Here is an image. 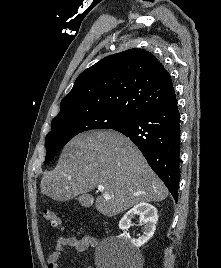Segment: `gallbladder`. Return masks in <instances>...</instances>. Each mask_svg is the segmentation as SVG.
<instances>
[{"instance_id":"obj_1","label":"gallbladder","mask_w":221,"mask_h":268,"mask_svg":"<svg viewBox=\"0 0 221 268\" xmlns=\"http://www.w3.org/2000/svg\"><path fill=\"white\" fill-rule=\"evenodd\" d=\"M92 202H93V198L92 196L88 194H85L83 198L80 200V203L85 207H89L92 204Z\"/></svg>"}]
</instances>
